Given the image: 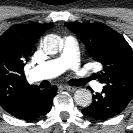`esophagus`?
Wrapping results in <instances>:
<instances>
[{"label":"esophagus","instance_id":"obj_1","mask_svg":"<svg viewBox=\"0 0 133 133\" xmlns=\"http://www.w3.org/2000/svg\"><path fill=\"white\" fill-rule=\"evenodd\" d=\"M65 89H67V90L70 91V92H74L77 88L74 87V86L66 85V86H65Z\"/></svg>","mask_w":133,"mask_h":133}]
</instances>
